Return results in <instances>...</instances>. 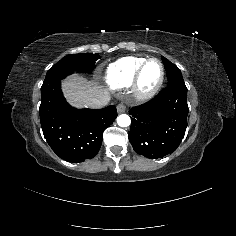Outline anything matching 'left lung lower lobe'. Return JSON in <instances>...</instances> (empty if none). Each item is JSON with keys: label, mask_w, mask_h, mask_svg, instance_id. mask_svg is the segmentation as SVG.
<instances>
[{"label": "left lung lower lobe", "mask_w": 236, "mask_h": 236, "mask_svg": "<svg viewBox=\"0 0 236 236\" xmlns=\"http://www.w3.org/2000/svg\"><path fill=\"white\" fill-rule=\"evenodd\" d=\"M187 88L184 82L169 84L156 97L129 110V141L139 155L162 158L174 152L186 130Z\"/></svg>", "instance_id": "obj_1"}]
</instances>
